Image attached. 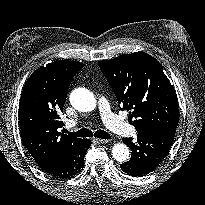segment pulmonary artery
<instances>
[{
  "label": "pulmonary artery",
  "instance_id": "1",
  "mask_svg": "<svg viewBox=\"0 0 205 205\" xmlns=\"http://www.w3.org/2000/svg\"><path fill=\"white\" fill-rule=\"evenodd\" d=\"M98 107L106 126L116 134L129 135L134 130L132 126L118 118V116L113 113L109 103L104 97L99 98ZM71 125L74 124L72 123Z\"/></svg>",
  "mask_w": 205,
  "mask_h": 205
}]
</instances>
